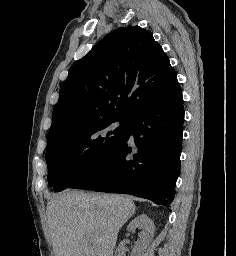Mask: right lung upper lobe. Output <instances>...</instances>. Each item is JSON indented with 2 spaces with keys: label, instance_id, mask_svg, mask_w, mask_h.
Masks as SVG:
<instances>
[{
  "label": "right lung upper lobe",
  "instance_id": "right-lung-upper-lobe-1",
  "mask_svg": "<svg viewBox=\"0 0 236 256\" xmlns=\"http://www.w3.org/2000/svg\"><path fill=\"white\" fill-rule=\"evenodd\" d=\"M178 84L169 58L150 31L119 27L71 67L48 137L81 123L132 119L148 101Z\"/></svg>",
  "mask_w": 236,
  "mask_h": 256
}]
</instances>
